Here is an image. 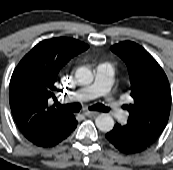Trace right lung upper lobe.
Segmentation results:
<instances>
[{
  "label": "right lung upper lobe",
  "instance_id": "1",
  "mask_svg": "<svg viewBox=\"0 0 173 170\" xmlns=\"http://www.w3.org/2000/svg\"><path fill=\"white\" fill-rule=\"evenodd\" d=\"M88 45L59 37L37 44L15 68L9 85V101L17 127L26 137L59 125L72 115L50 104L55 99L58 75L66 63Z\"/></svg>",
  "mask_w": 173,
  "mask_h": 170
}]
</instances>
